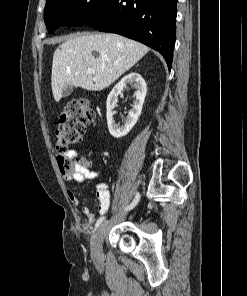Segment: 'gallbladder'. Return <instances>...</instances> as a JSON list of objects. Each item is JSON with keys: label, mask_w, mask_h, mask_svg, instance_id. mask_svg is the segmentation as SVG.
Listing matches in <instances>:
<instances>
[{"label": "gallbladder", "mask_w": 247, "mask_h": 296, "mask_svg": "<svg viewBox=\"0 0 247 296\" xmlns=\"http://www.w3.org/2000/svg\"><path fill=\"white\" fill-rule=\"evenodd\" d=\"M73 89H74V87L73 86H70V85H68L65 89H64V91H63V97H67V96H69L72 92H73Z\"/></svg>", "instance_id": "1"}]
</instances>
